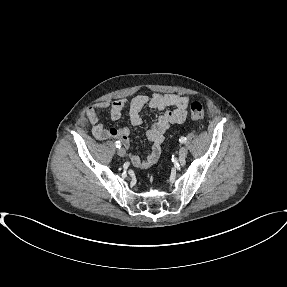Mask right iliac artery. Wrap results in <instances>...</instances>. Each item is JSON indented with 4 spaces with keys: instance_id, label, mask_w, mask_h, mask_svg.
Instances as JSON below:
<instances>
[{
    "instance_id": "obj_1",
    "label": "right iliac artery",
    "mask_w": 287,
    "mask_h": 287,
    "mask_svg": "<svg viewBox=\"0 0 287 287\" xmlns=\"http://www.w3.org/2000/svg\"><path fill=\"white\" fill-rule=\"evenodd\" d=\"M115 145H116L117 148H120V147H121L120 141H116V142H115Z\"/></svg>"
}]
</instances>
